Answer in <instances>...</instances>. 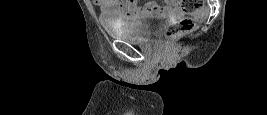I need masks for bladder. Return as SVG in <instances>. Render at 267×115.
<instances>
[{"label": "bladder", "mask_w": 267, "mask_h": 115, "mask_svg": "<svg viewBox=\"0 0 267 115\" xmlns=\"http://www.w3.org/2000/svg\"><path fill=\"white\" fill-rule=\"evenodd\" d=\"M161 14H144L138 20L128 24H114L106 26L108 34L114 38L130 42H143L152 38L165 22Z\"/></svg>", "instance_id": "obj_1"}]
</instances>
